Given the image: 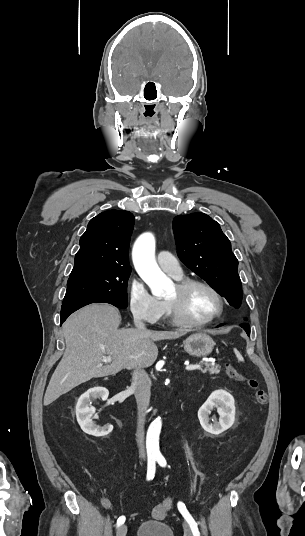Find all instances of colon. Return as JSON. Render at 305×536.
<instances>
[{
	"label": "colon",
	"instance_id": "obj_1",
	"mask_svg": "<svg viewBox=\"0 0 305 536\" xmlns=\"http://www.w3.org/2000/svg\"><path fill=\"white\" fill-rule=\"evenodd\" d=\"M224 372L226 376L230 379L247 384V386L251 390H253L255 399L258 404L264 405L267 402V392L259 386V382L256 379L246 377L245 375L240 373L231 363H225ZM171 506V497H166L164 501L160 502L153 508L152 516L157 519L164 518L168 514Z\"/></svg>",
	"mask_w": 305,
	"mask_h": 536
}]
</instances>
